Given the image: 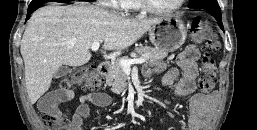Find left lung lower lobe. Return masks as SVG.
<instances>
[{"instance_id": "0a47b994", "label": "left lung lower lobe", "mask_w": 257, "mask_h": 130, "mask_svg": "<svg viewBox=\"0 0 257 130\" xmlns=\"http://www.w3.org/2000/svg\"><path fill=\"white\" fill-rule=\"evenodd\" d=\"M209 13L211 15H213L214 17H216V19L218 20L221 29L223 30V24H222V19H221V10L220 11H209Z\"/></svg>"}]
</instances>
